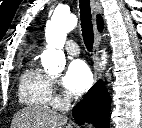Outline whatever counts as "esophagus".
I'll return each mask as SVG.
<instances>
[{
    "instance_id": "34e87169",
    "label": "esophagus",
    "mask_w": 142,
    "mask_h": 128,
    "mask_svg": "<svg viewBox=\"0 0 142 128\" xmlns=\"http://www.w3.org/2000/svg\"><path fill=\"white\" fill-rule=\"evenodd\" d=\"M91 9L94 20V45H93V73L94 79L97 81L100 78V68H99V46L101 35L96 26V16L101 13V5L99 0H91Z\"/></svg>"
}]
</instances>
